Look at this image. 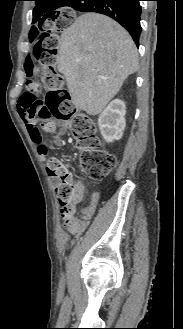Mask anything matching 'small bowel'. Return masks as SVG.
I'll list each match as a JSON object with an SVG mask.
<instances>
[{
  "mask_svg": "<svg viewBox=\"0 0 183 329\" xmlns=\"http://www.w3.org/2000/svg\"><path fill=\"white\" fill-rule=\"evenodd\" d=\"M21 120L23 121L32 142L39 147V150L42 154H46L47 150L44 152L42 151V147L44 144L42 143V136L38 129L36 128V125L34 123V116L31 114H19ZM68 127V124L63 122L61 123V130L65 131ZM55 143L57 146H62L64 144V139L62 136H58L55 139ZM78 190H79V195H80V200L85 194V186L84 184L78 180L73 178ZM79 200V201H80ZM99 203V194L98 193H93L90 196L89 203L78 213L77 211V206L67 210V211H61V218L64 222V224L71 225L72 227L77 228L76 231H71L73 233H79L83 231L88 224L90 223V219L92 215L95 213L96 208Z\"/></svg>",
  "mask_w": 183,
  "mask_h": 329,
  "instance_id": "1",
  "label": "small bowel"
}]
</instances>
